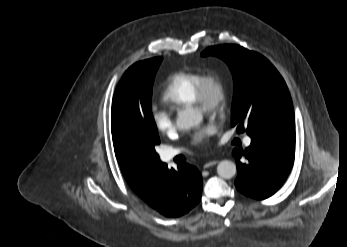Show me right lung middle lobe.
<instances>
[{"label":"right lung middle lobe","instance_id":"1","mask_svg":"<svg viewBox=\"0 0 347 247\" xmlns=\"http://www.w3.org/2000/svg\"><path fill=\"white\" fill-rule=\"evenodd\" d=\"M162 57L132 65L119 82L112 101L111 132L114 142L145 159L158 161L160 144L152 116V86Z\"/></svg>","mask_w":347,"mask_h":247}]
</instances>
